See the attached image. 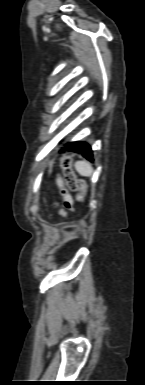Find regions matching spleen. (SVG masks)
I'll return each instance as SVG.
<instances>
[{
    "instance_id": "3e777b00",
    "label": "spleen",
    "mask_w": 145,
    "mask_h": 385,
    "mask_svg": "<svg viewBox=\"0 0 145 385\" xmlns=\"http://www.w3.org/2000/svg\"><path fill=\"white\" fill-rule=\"evenodd\" d=\"M75 169L77 172L85 177H89L93 173L92 166L89 162L83 160V161H76L75 163Z\"/></svg>"
}]
</instances>
